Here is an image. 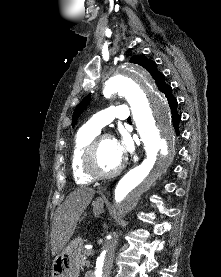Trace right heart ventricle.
I'll return each mask as SVG.
<instances>
[{
	"label": "right heart ventricle",
	"instance_id": "1",
	"mask_svg": "<svg viewBox=\"0 0 221 277\" xmlns=\"http://www.w3.org/2000/svg\"><path fill=\"white\" fill-rule=\"evenodd\" d=\"M97 134L98 132L84 126L77 132L74 138L71 153V170L73 178L78 184H88L92 181L82 170V159L87 147Z\"/></svg>",
	"mask_w": 221,
	"mask_h": 277
}]
</instances>
